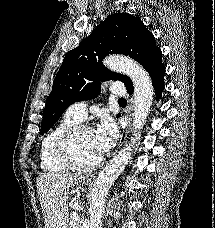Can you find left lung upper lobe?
Masks as SVG:
<instances>
[{"label":"left lung upper lobe","mask_w":215,"mask_h":228,"mask_svg":"<svg viewBox=\"0 0 215 228\" xmlns=\"http://www.w3.org/2000/svg\"><path fill=\"white\" fill-rule=\"evenodd\" d=\"M159 50L154 36L138 17L129 13L109 16L78 47L66 54L46 100L40 134L46 133L69 105L96 98L101 91V82L121 80L126 88L133 85L128 76L102 65L105 56L127 55L146 70Z\"/></svg>","instance_id":"1"}]
</instances>
